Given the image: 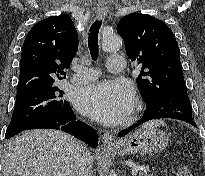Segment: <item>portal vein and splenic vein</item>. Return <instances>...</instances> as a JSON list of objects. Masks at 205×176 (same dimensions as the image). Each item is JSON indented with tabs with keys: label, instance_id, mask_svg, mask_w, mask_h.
Wrapping results in <instances>:
<instances>
[{
	"label": "portal vein and splenic vein",
	"instance_id": "18ae733b",
	"mask_svg": "<svg viewBox=\"0 0 205 176\" xmlns=\"http://www.w3.org/2000/svg\"><path fill=\"white\" fill-rule=\"evenodd\" d=\"M138 173V167L132 169V175L135 176Z\"/></svg>",
	"mask_w": 205,
	"mask_h": 176
}]
</instances>
